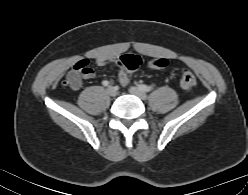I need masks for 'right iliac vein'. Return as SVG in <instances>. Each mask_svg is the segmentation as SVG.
Instances as JSON below:
<instances>
[{"label": "right iliac vein", "instance_id": "1", "mask_svg": "<svg viewBox=\"0 0 248 195\" xmlns=\"http://www.w3.org/2000/svg\"><path fill=\"white\" fill-rule=\"evenodd\" d=\"M107 93H108L110 96L114 97V96L117 95V90H116L115 87L109 86V87L107 88Z\"/></svg>", "mask_w": 248, "mask_h": 195}]
</instances>
